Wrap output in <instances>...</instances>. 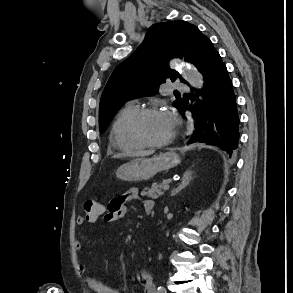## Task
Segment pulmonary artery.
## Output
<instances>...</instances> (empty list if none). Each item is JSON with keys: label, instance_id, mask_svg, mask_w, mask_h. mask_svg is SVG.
<instances>
[{"label": "pulmonary artery", "instance_id": "pulmonary-artery-1", "mask_svg": "<svg viewBox=\"0 0 293 293\" xmlns=\"http://www.w3.org/2000/svg\"><path fill=\"white\" fill-rule=\"evenodd\" d=\"M172 88L176 89V90H186L187 89V87L185 85H183L181 83H177V82L172 84Z\"/></svg>", "mask_w": 293, "mask_h": 293}]
</instances>
